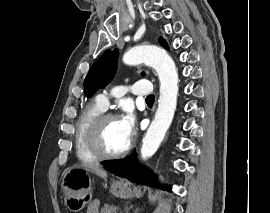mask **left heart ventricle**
Listing matches in <instances>:
<instances>
[{"label":"left heart ventricle","mask_w":270,"mask_h":213,"mask_svg":"<svg viewBox=\"0 0 270 213\" xmlns=\"http://www.w3.org/2000/svg\"><path fill=\"white\" fill-rule=\"evenodd\" d=\"M128 143L118 119H111L105 123L101 134V146L105 152H120Z\"/></svg>","instance_id":"left-heart-ventricle-1"}]
</instances>
